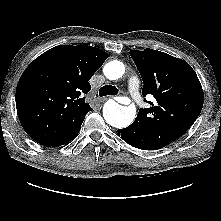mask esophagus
Listing matches in <instances>:
<instances>
[{
  "label": "esophagus",
  "mask_w": 221,
  "mask_h": 221,
  "mask_svg": "<svg viewBox=\"0 0 221 221\" xmlns=\"http://www.w3.org/2000/svg\"><path fill=\"white\" fill-rule=\"evenodd\" d=\"M107 99H108L107 97H103V98H100L99 101H100V102H104V101H106Z\"/></svg>",
  "instance_id": "34e87169"
}]
</instances>
